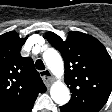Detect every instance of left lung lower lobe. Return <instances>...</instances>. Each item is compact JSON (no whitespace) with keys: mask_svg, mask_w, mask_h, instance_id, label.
I'll return each mask as SVG.
<instances>
[{"mask_svg":"<svg viewBox=\"0 0 112 112\" xmlns=\"http://www.w3.org/2000/svg\"><path fill=\"white\" fill-rule=\"evenodd\" d=\"M60 110H61V112H73V111H70V110L65 109V108H63V107H60Z\"/></svg>","mask_w":112,"mask_h":112,"instance_id":"obj_1","label":"left lung lower lobe"}]
</instances>
